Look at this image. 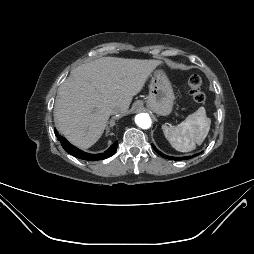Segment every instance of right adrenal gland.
Listing matches in <instances>:
<instances>
[{
	"instance_id": "2a0ac1e0",
	"label": "right adrenal gland",
	"mask_w": 254,
	"mask_h": 254,
	"mask_svg": "<svg viewBox=\"0 0 254 254\" xmlns=\"http://www.w3.org/2000/svg\"><path fill=\"white\" fill-rule=\"evenodd\" d=\"M109 132V128H108V125H106V135L108 134Z\"/></svg>"
}]
</instances>
